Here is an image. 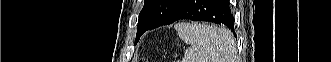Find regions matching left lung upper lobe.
Here are the masks:
<instances>
[{
	"label": "left lung upper lobe",
	"mask_w": 331,
	"mask_h": 62,
	"mask_svg": "<svg viewBox=\"0 0 331 62\" xmlns=\"http://www.w3.org/2000/svg\"><path fill=\"white\" fill-rule=\"evenodd\" d=\"M184 0H145L139 14L140 27L154 29L162 26ZM137 30V32H138Z\"/></svg>",
	"instance_id": "5c2ea615"
}]
</instances>
